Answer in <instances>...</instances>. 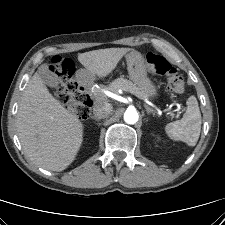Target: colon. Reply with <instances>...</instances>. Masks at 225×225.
Listing matches in <instances>:
<instances>
[{"label":"colon","mask_w":225,"mask_h":225,"mask_svg":"<svg viewBox=\"0 0 225 225\" xmlns=\"http://www.w3.org/2000/svg\"><path fill=\"white\" fill-rule=\"evenodd\" d=\"M146 62L150 71L164 75L167 78V91L171 94H180L185 90L183 77L177 69L163 56L149 52ZM74 63L69 59L56 58L50 67L59 79L56 95L65 100L67 107L80 119L89 117L92 101L85 95L74 78Z\"/></svg>","instance_id":"1"}]
</instances>
